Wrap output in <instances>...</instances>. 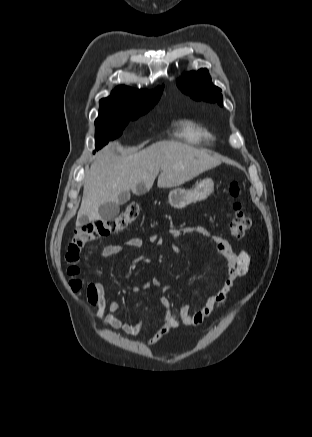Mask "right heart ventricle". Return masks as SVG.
I'll use <instances>...</instances> for the list:
<instances>
[{
  "mask_svg": "<svg viewBox=\"0 0 312 437\" xmlns=\"http://www.w3.org/2000/svg\"><path fill=\"white\" fill-rule=\"evenodd\" d=\"M178 130L180 136L190 142H200L212 138L208 128L194 119L182 120Z\"/></svg>",
  "mask_w": 312,
  "mask_h": 437,
  "instance_id": "obj_1",
  "label": "right heart ventricle"
}]
</instances>
